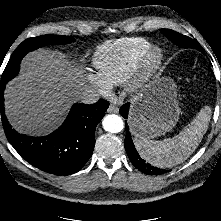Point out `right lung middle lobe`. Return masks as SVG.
I'll return each instance as SVG.
<instances>
[{
  "instance_id": "right-lung-middle-lobe-1",
  "label": "right lung middle lobe",
  "mask_w": 221,
  "mask_h": 221,
  "mask_svg": "<svg viewBox=\"0 0 221 221\" xmlns=\"http://www.w3.org/2000/svg\"><path fill=\"white\" fill-rule=\"evenodd\" d=\"M73 41L74 37L72 36H55L50 34L26 39L12 54L2 74L1 83H7L18 74L21 59L28 52L48 44H67Z\"/></svg>"
}]
</instances>
